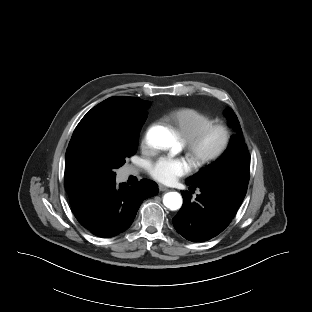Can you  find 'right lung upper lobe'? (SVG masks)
<instances>
[{
	"instance_id": "right-lung-upper-lobe-1",
	"label": "right lung upper lobe",
	"mask_w": 312,
	"mask_h": 312,
	"mask_svg": "<svg viewBox=\"0 0 312 312\" xmlns=\"http://www.w3.org/2000/svg\"><path fill=\"white\" fill-rule=\"evenodd\" d=\"M149 102L135 97H110L93 107L83 118L96 114H111L122 118H133L146 112ZM71 208L79 206L88 196L97 192L101 187L81 186L65 178Z\"/></svg>"
}]
</instances>
